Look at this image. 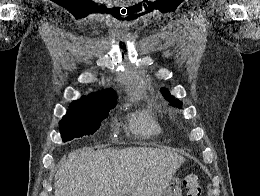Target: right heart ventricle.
Instances as JSON below:
<instances>
[{
	"mask_svg": "<svg viewBox=\"0 0 260 196\" xmlns=\"http://www.w3.org/2000/svg\"><path fill=\"white\" fill-rule=\"evenodd\" d=\"M134 128L143 135H158L162 133V127L159 122L147 115L138 114L133 119ZM115 192H124V190H116Z\"/></svg>",
	"mask_w": 260,
	"mask_h": 196,
	"instance_id": "1",
	"label": "right heart ventricle"
}]
</instances>
